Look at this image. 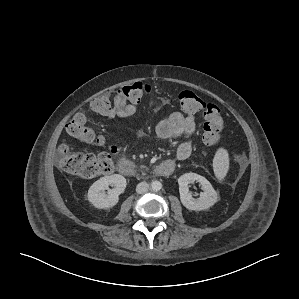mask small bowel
Wrapping results in <instances>:
<instances>
[{
    "instance_id": "small-bowel-1",
    "label": "small bowel",
    "mask_w": 299,
    "mask_h": 299,
    "mask_svg": "<svg viewBox=\"0 0 299 299\" xmlns=\"http://www.w3.org/2000/svg\"><path fill=\"white\" fill-rule=\"evenodd\" d=\"M137 111V104L116 98L114 106L105 116L108 121L114 118H127ZM196 132V118L194 115H183L179 112L172 113L168 118L162 120L156 126V134L160 139H180L185 135H192ZM192 148L188 142H181L176 150L178 160H186L191 156Z\"/></svg>"
}]
</instances>
